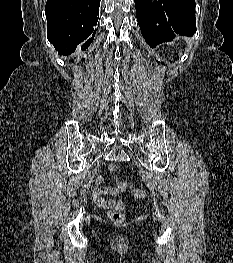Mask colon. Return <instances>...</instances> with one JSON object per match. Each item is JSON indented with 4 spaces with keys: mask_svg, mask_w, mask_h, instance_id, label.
Returning a JSON list of instances; mask_svg holds the SVG:
<instances>
[{
    "mask_svg": "<svg viewBox=\"0 0 233 263\" xmlns=\"http://www.w3.org/2000/svg\"><path fill=\"white\" fill-rule=\"evenodd\" d=\"M110 170L112 172L117 171V166L116 165H111ZM129 188L131 193L134 195V197L143 199L146 197V191L142 188H134L133 186L129 185L126 181H118L117 182V189L119 191H123L125 189ZM109 218L115 223V224H123L125 221V216L123 213H121L118 210H110L108 212Z\"/></svg>",
    "mask_w": 233,
    "mask_h": 263,
    "instance_id": "5ec220e1",
    "label": "colon"
}]
</instances>
